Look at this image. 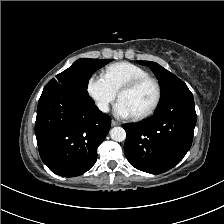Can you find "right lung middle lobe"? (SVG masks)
<instances>
[{
  "label": "right lung middle lobe",
  "instance_id": "obj_1",
  "mask_svg": "<svg viewBox=\"0 0 224 224\" xmlns=\"http://www.w3.org/2000/svg\"><path fill=\"white\" fill-rule=\"evenodd\" d=\"M112 59H86L75 61L68 69L51 79L46 86H61L88 95V81L92 74Z\"/></svg>",
  "mask_w": 224,
  "mask_h": 224
}]
</instances>
